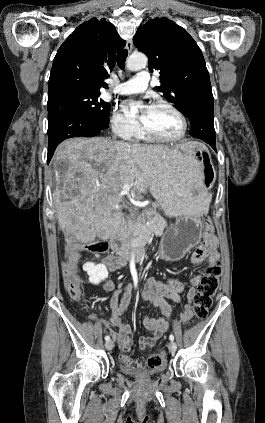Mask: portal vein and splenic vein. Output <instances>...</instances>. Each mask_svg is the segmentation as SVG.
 <instances>
[{
    "label": "portal vein and splenic vein",
    "mask_w": 265,
    "mask_h": 423,
    "mask_svg": "<svg viewBox=\"0 0 265 423\" xmlns=\"http://www.w3.org/2000/svg\"><path fill=\"white\" fill-rule=\"evenodd\" d=\"M132 184H125L120 192V196H127V198L134 204H136L135 196L130 192Z\"/></svg>",
    "instance_id": "portal-vein-and-splenic-vein-1"
}]
</instances>
